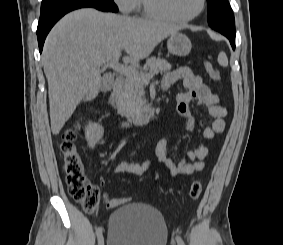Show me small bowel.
Instances as JSON below:
<instances>
[{"mask_svg": "<svg viewBox=\"0 0 283 245\" xmlns=\"http://www.w3.org/2000/svg\"><path fill=\"white\" fill-rule=\"evenodd\" d=\"M177 83H182L185 90L175 96L176 115L183 120L186 129L193 132L197 122L191 106L195 104L205 108L212 120L205 126L203 137L213 141L216 135L224 131L227 115V110L220 105L219 97L202 81L200 76L187 67H180L166 73L162 80V87L167 91ZM208 153V147L201 143L192 150H186L184 157L175 161L169 154L168 140L162 137L156 146L155 160H147L142 165L124 161L115 168V172H131L142 175L153 163H160L173 176L191 175L204 169Z\"/></svg>", "mask_w": 283, "mask_h": 245, "instance_id": "c3829d8e", "label": "small bowel"}]
</instances>
